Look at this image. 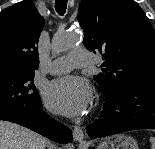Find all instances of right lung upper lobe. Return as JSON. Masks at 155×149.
Instances as JSON below:
<instances>
[{
	"label": "right lung upper lobe",
	"mask_w": 155,
	"mask_h": 149,
	"mask_svg": "<svg viewBox=\"0 0 155 149\" xmlns=\"http://www.w3.org/2000/svg\"><path fill=\"white\" fill-rule=\"evenodd\" d=\"M44 19L30 0L0 12V68L34 72L39 65L37 44Z\"/></svg>",
	"instance_id": "cb5924a9"
}]
</instances>
